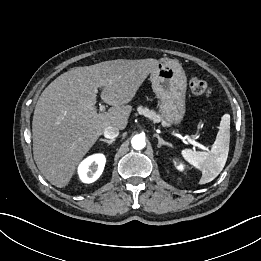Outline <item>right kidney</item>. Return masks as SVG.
<instances>
[{
    "mask_svg": "<svg viewBox=\"0 0 261 261\" xmlns=\"http://www.w3.org/2000/svg\"><path fill=\"white\" fill-rule=\"evenodd\" d=\"M106 158L103 154H94L83 160L78 167V174L82 182L92 183L103 172Z\"/></svg>",
    "mask_w": 261,
    "mask_h": 261,
    "instance_id": "1",
    "label": "right kidney"
}]
</instances>
